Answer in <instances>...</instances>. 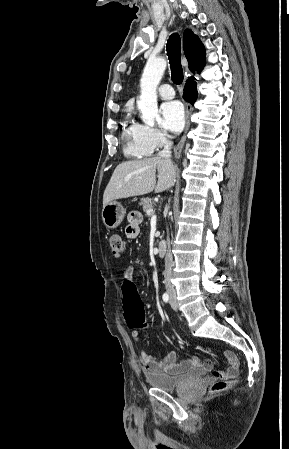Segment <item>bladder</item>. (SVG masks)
Segmentation results:
<instances>
[{
  "label": "bladder",
  "instance_id": "bladder-1",
  "mask_svg": "<svg viewBox=\"0 0 289 449\" xmlns=\"http://www.w3.org/2000/svg\"><path fill=\"white\" fill-rule=\"evenodd\" d=\"M204 376V370L196 369L181 375L151 374L147 376V381L154 388L173 392L202 379Z\"/></svg>",
  "mask_w": 289,
  "mask_h": 449
}]
</instances>
